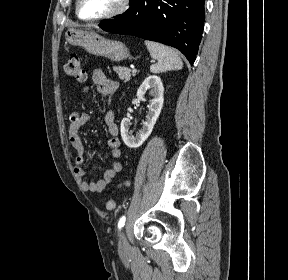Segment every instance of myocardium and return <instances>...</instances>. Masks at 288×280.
Listing matches in <instances>:
<instances>
[{
    "instance_id": "f54148a6",
    "label": "myocardium",
    "mask_w": 288,
    "mask_h": 280,
    "mask_svg": "<svg viewBox=\"0 0 288 280\" xmlns=\"http://www.w3.org/2000/svg\"><path fill=\"white\" fill-rule=\"evenodd\" d=\"M129 3H130V0H121L118 7L109 13L104 14V15L99 16V17H95V18H85L80 13L81 0H76L75 11H76L78 18L82 21L91 22V23L101 22V21H106V20L116 18V17L122 15L123 13H125L129 7Z\"/></svg>"
}]
</instances>
